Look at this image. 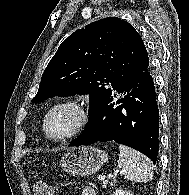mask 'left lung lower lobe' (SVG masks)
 I'll return each mask as SVG.
<instances>
[{
    "instance_id": "0a47b994",
    "label": "left lung lower lobe",
    "mask_w": 189,
    "mask_h": 195,
    "mask_svg": "<svg viewBox=\"0 0 189 195\" xmlns=\"http://www.w3.org/2000/svg\"><path fill=\"white\" fill-rule=\"evenodd\" d=\"M116 95L121 98L116 100ZM158 137L159 110L153 78L147 68L118 87L69 146L114 141L142 152L155 164Z\"/></svg>"
}]
</instances>
